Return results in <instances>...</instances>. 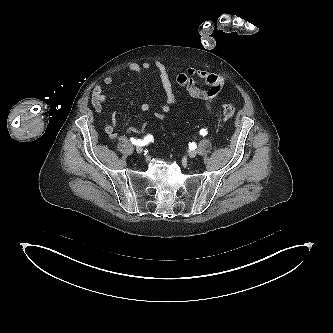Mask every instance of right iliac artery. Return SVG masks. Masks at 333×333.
Masks as SVG:
<instances>
[{
	"mask_svg": "<svg viewBox=\"0 0 333 333\" xmlns=\"http://www.w3.org/2000/svg\"><path fill=\"white\" fill-rule=\"evenodd\" d=\"M153 139L152 135H147L143 140L140 139H135V138H131L130 141L132 144L137 145V146H143L148 144L149 142H151Z\"/></svg>",
	"mask_w": 333,
	"mask_h": 333,
	"instance_id": "right-iliac-artery-1",
	"label": "right iliac artery"
}]
</instances>
